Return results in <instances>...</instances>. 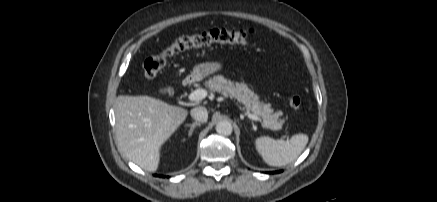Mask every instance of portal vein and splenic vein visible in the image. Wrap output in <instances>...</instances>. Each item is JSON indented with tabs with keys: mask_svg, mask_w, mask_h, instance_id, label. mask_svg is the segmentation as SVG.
I'll return each instance as SVG.
<instances>
[{
	"mask_svg": "<svg viewBox=\"0 0 437 202\" xmlns=\"http://www.w3.org/2000/svg\"><path fill=\"white\" fill-rule=\"evenodd\" d=\"M207 96V91L205 89H197L191 92L188 96L190 101H201ZM250 119L255 121H261L260 117L251 114L250 112L245 113Z\"/></svg>",
	"mask_w": 437,
	"mask_h": 202,
	"instance_id": "1",
	"label": "portal vein and splenic vein"
}]
</instances>
